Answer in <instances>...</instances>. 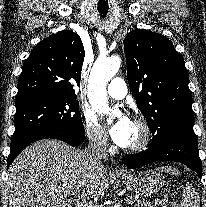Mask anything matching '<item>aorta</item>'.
<instances>
[{"label": "aorta", "mask_w": 206, "mask_h": 207, "mask_svg": "<svg viewBox=\"0 0 206 207\" xmlns=\"http://www.w3.org/2000/svg\"><path fill=\"white\" fill-rule=\"evenodd\" d=\"M121 60L118 56L99 58L91 71L88 82V99L94 110L111 115L108 106L106 86L110 79L118 72Z\"/></svg>", "instance_id": "obj_1"}]
</instances>
